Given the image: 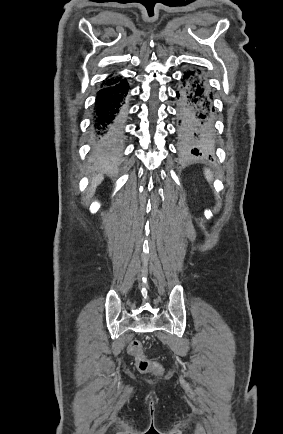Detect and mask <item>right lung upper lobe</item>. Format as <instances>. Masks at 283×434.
<instances>
[{"instance_id":"right-lung-upper-lobe-1","label":"right lung upper lobe","mask_w":283,"mask_h":434,"mask_svg":"<svg viewBox=\"0 0 283 434\" xmlns=\"http://www.w3.org/2000/svg\"><path fill=\"white\" fill-rule=\"evenodd\" d=\"M118 81H119V80H118ZM118 81H114V82H112V83H108V85L113 84V83L118 82Z\"/></svg>"}]
</instances>
